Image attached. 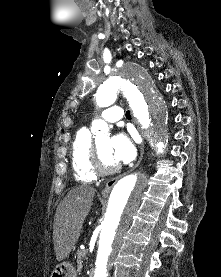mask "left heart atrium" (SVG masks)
Listing matches in <instances>:
<instances>
[{
    "label": "left heart atrium",
    "instance_id": "39dd6f15",
    "mask_svg": "<svg viewBox=\"0 0 221 277\" xmlns=\"http://www.w3.org/2000/svg\"><path fill=\"white\" fill-rule=\"evenodd\" d=\"M110 152L117 163H129L136 157V146L131 138L120 133L110 140Z\"/></svg>",
    "mask_w": 221,
    "mask_h": 277
}]
</instances>
